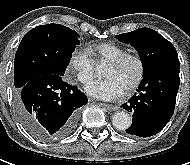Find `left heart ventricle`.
I'll return each mask as SVG.
<instances>
[{
  "instance_id": "left-heart-ventricle-1",
  "label": "left heart ventricle",
  "mask_w": 190,
  "mask_h": 165,
  "mask_svg": "<svg viewBox=\"0 0 190 165\" xmlns=\"http://www.w3.org/2000/svg\"><path fill=\"white\" fill-rule=\"evenodd\" d=\"M138 67L135 62L130 61L121 68L108 65L105 71L106 78H115L126 89L136 78Z\"/></svg>"
}]
</instances>
